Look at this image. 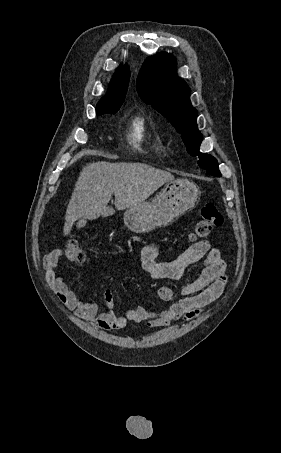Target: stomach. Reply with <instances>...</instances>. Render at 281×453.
I'll return each mask as SVG.
<instances>
[{
	"mask_svg": "<svg viewBox=\"0 0 281 453\" xmlns=\"http://www.w3.org/2000/svg\"><path fill=\"white\" fill-rule=\"evenodd\" d=\"M200 190L188 178L169 180L152 202H139L124 212L125 227L133 233H150L157 227H167L183 212L195 206Z\"/></svg>",
	"mask_w": 281,
	"mask_h": 453,
	"instance_id": "0dacf381",
	"label": "stomach"
}]
</instances>
